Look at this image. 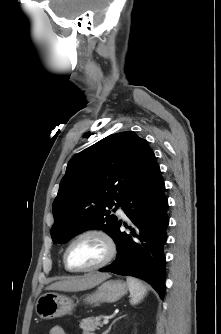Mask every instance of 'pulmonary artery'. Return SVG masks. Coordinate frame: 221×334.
<instances>
[{
	"mask_svg": "<svg viewBox=\"0 0 221 334\" xmlns=\"http://www.w3.org/2000/svg\"><path fill=\"white\" fill-rule=\"evenodd\" d=\"M117 214L120 216H124V210L121 206H117Z\"/></svg>",
	"mask_w": 221,
	"mask_h": 334,
	"instance_id": "obj_1",
	"label": "pulmonary artery"
}]
</instances>
